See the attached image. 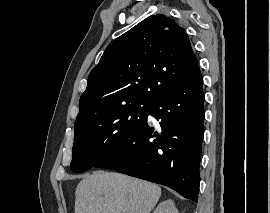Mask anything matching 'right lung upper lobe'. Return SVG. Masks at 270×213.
<instances>
[{
  "instance_id": "1",
  "label": "right lung upper lobe",
  "mask_w": 270,
  "mask_h": 213,
  "mask_svg": "<svg viewBox=\"0 0 270 213\" xmlns=\"http://www.w3.org/2000/svg\"><path fill=\"white\" fill-rule=\"evenodd\" d=\"M197 64L184 29L165 15L149 16L108 45L90 72L76 123L131 103L153 104Z\"/></svg>"
}]
</instances>
